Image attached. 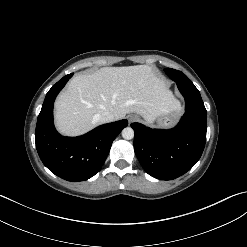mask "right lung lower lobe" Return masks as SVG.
<instances>
[{
	"label": "right lung lower lobe",
	"instance_id": "obj_1",
	"mask_svg": "<svg viewBox=\"0 0 247 247\" xmlns=\"http://www.w3.org/2000/svg\"><path fill=\"white\" fill-rule=\"evenodd\" d=\"M73 73L48 91L37 119L35 142L43 164L68 181H84L102 167L113 140L128 125L127 120L104 124L79 137H63L53 124V104Z\"/></svg>",
	"mask_w": 247,
	"mask_h": 247
}]
</instances>
